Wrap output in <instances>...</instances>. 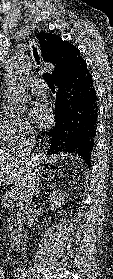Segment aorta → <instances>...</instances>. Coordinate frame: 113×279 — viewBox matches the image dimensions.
<instances>
[{"instance_id": "obj_1", "label": "aorta", "mask_w": 113, "mask_h": 279, "mask_svg": "<svg viewBox=\"0 0 113 279\" xmlns=\"http://www.w3.org/2000/svg\"><path fill=\"white\" fill-rule=\"evenodd\" d=\"M21 100L19 97H11L8 100L7 108L11 113H18L21 111Z\"/></svg>"}]
</instances>
